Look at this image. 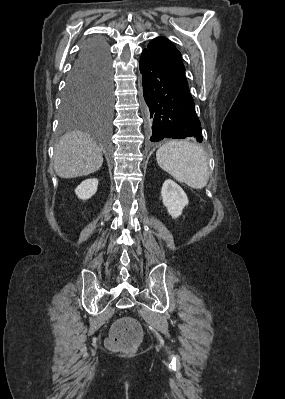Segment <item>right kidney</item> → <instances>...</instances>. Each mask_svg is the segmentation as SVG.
I'll list each match as a JSON object with an SVG mask.
<instances>
[{"mask_svg": "<svg viewBox=\"0 0 285 399\" xmlns=\"http://www.w3.org/2000/svg\"><path fill=\"white\" fill-rule=\"evenodd\" d=\"M98 187V179L90 178L83 181L80 185L75 189V193L78 198L82 200H87L91 198L97 191Z\"/></svg>", "mask_w": 285, "mask_h": 399, "instance_id": "right-kidney-1", "label": "right kidney"}]
</instances>
